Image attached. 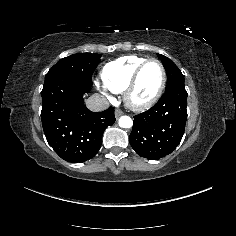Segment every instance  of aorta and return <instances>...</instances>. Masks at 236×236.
<instances>
[{
	"mask_svg": "<svg viewBox=\"0 0 236 236\" xmlns=\"http://www.w3.org/2000/svg\"><path fill=\"white\" fill-rule=\"evenodd\" d=\"M118 124L121 128H131L133 121L129 116H121L119 118Z\"/></svg>",
	"mask_w": 236,
	"mask_h": 236,
	"instance_id": "762f6f07",
	"label": "aorta"
}]
</instances>
